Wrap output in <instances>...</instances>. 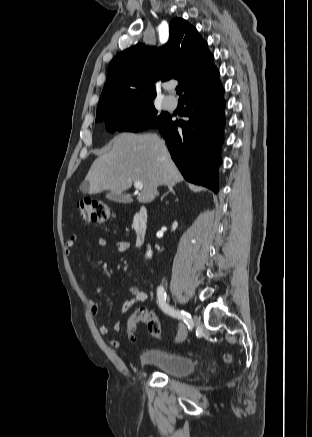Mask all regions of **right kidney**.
Here are the masks:
<instances>
[{
  "label": "right kidney",
  "mask_w": 312,
  "mask_h": 437,
  "mask_svg": "<svg viewBox=\"0 0 312 437\" xmlns=\"http://www.w3.org/2000/svg\"><path fill=\"white\" fill-rule=\"evenodd\" d=\"M151 255H152V252H151V250L149 249L148 252H147V257H151Z\"/></svg>",
  "instance_id": "obj_1"
}]
</instances>
